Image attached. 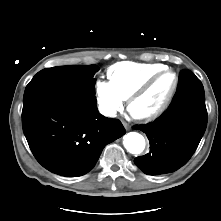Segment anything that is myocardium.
Returning a JSON list of instances; mask_svg holds the SVG:
<instances>
[{
  "mask_svg": "<svg viewBox=\"0 0 221 221\" xmlns=\"http://www.w3.org/2000/svg\"><path fill=\"white\" fill-rule=\"evenodd\" d=\"M167 73H171L174 76V83H173V86H172L168 96L166 97L165 101L163 102V104L156 111H154L152 113L142 114V115L134 114L132 112L133 105L139 99H141L143 96H145L152 89V87L156 84V82ZM178 84H179L178 74L171 68L166 67V68L158 71L154 75H152L128 98L127 109L130 112L131 116L134 119H136L138 121H143V122H149V121H153V120L159 118L162 114L165 113V111L170 106V104L176 94Z\"/></svg>",
  "mask_w": 221,
  "mask_h": 221,
  "instance_id": "myocardium-1",
  "label": "myocardium"
}]
</instances>
